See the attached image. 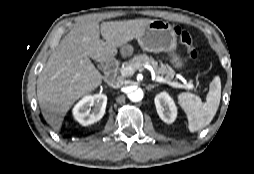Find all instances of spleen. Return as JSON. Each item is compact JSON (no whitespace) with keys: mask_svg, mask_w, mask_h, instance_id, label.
I'll list each match as a JSON object with an SVG mask.
<instances>
[{"mask_svg":"<svg viewBox=\"0 0 254 174\" xmlns=\"http://www.w3.org/2000/svg\"><path fill=\"white\" fill-rule=\"evenodd\" d=\"M220 98L221 81L218 76L210 84L205 103L191 93L184 92L178 95V103L186 113L190 132L201 130L210 124L218 110Z\"/></svg>","mask_w":254,"mask_h":174,"instance_id":"1","label":"spleen"}]
</instances>
